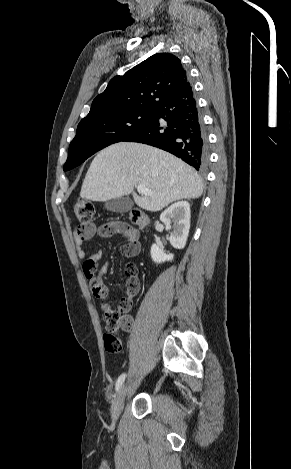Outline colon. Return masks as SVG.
<instances>
[{
    "mask_svg": "<svg viewBox=\"0 0 291 469\" xmlns=\"http://www.w3.org/2000/svg\"><path fill=\"white\" fill-rule=\"evenodd\" d=\"M94 205L86 199H79L73 206V215L79 221L78 226L82 234L90 232V226L94 215ZM132 223L139 226L147 224V217L139 208H133L129 213ZM123 253H129L131 248L126 244L122 248ZM90 267H93L90 265ZM127 276V292L120 300L116 309L110 308L104 311V321L107 332L103 335L105 350L112 354H117L122 350L119 337L115 334L119 329L130 330L132 318L127 314L132 307L133 297L139 289L138 268L133 263H128L125 267Z\"/></svg>",
    "mask_w": 291,
    "mask_h": 469,
    "instance_id": "1",
    "label": "colon"
}]
</instances>
